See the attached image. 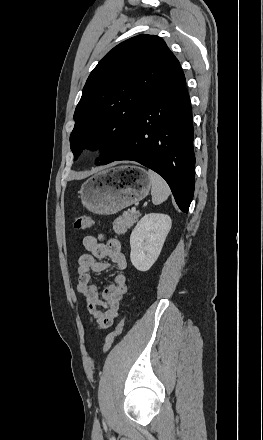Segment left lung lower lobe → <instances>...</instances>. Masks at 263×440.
<instances>
[{
  "label": "left lung lower lobe",
  "mask_w": 263,
  "mask_h": 440,
  "mask_svg": "<svg viewBox=\"0 0 263 440\" xmlns=\"http://www.w3.org/2000/svg\"><path fill=\"white\" fill-rule=\"evenodd\" d=\"M193 139L192 110L185 76L174 57L140 110L129 145L110 162L136 161L157 172L170 186L181 211L187 213L195 186Z\"/></svg>",
  "instance_id": "1"
}]
</instances>
